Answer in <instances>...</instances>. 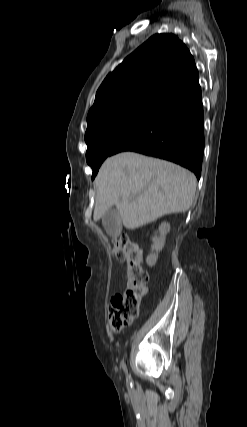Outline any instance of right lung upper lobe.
<instances>
[{
	"label": "right lung upper lobe",
	"instance_id": "obj_1",
	"mask_svg": "<svg viewBox=\"0 0 247 427\" xmlns=\"http://www.w3.org/2000/svg\"><path fill=\"white\" fill-rule=\"evenodd\" d=\"M198 78L194 58L177 36L153 35L104 79L89 110L88 125L123 108L158 107Z\"/></svg>",
	"mask_w": 247,
	"mask_h": 427
}]
</instances>
